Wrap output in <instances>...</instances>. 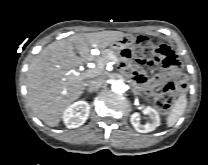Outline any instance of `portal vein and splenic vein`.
<instances>
[{"mask_svg":"<svg viewBox=\"0 0 208 165\" xmlns=\"http://www.w3.org/2000/svg\"><path fill=\"white\" fill-rule=\"evenodd\" d=\"M99 73V70L97 68L95 69H90V70H87L86 72H84L82 75L83 77L85 78H90V77H93L94 75L98 74ZM76 75H78L77 73H75Z\"/></svg>","mask_w":208,"mask_h":165,"instance_id":"portal-vein-and-splenic-vein-1","label":"portal vein and splenic vein"}]
</instances>
